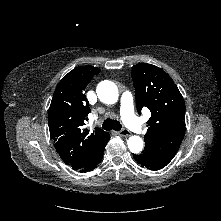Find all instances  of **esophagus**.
I'll use <instances>...</instances> for the list:
<instances>
[{
	"mask_svg": "<svg viewBox=\"0 0 221 221\" xmlns=\"http://www.w3.org/2000/svg\"><path fill=\"white\" fill-rule=\"evenodd\" d=\"M117 133L122 137H128L130 135V131L128 129H122Z\"/></svg>",
	"mask_w": 221,
	"mask_h": 221,
	"instance_id": "esophagus-1",
	"label": "esophagus"
}]
</instances>
